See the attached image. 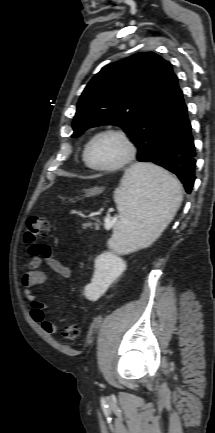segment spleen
<instances>
[{"label":"spleen","mask_w":215,"mask_h":433,"mask_svg":"<svg viewBox=\"0 0 215 433\" xmlns=\"http://www.w3.org/2000/svg\"><path fill=\"white\" fill-rule=\"evenodd\" d=\"M182 197L181 184L164 169L150 163L130 166L114 191L119 220L108 247L127 254L150 246L173 220Z\"/></svg>","instance_id":"1"}]
</instances>
